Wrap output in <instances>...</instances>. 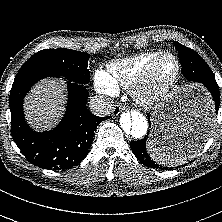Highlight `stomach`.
<instances>
[{
	"label": "stomach",
	"instance_id": "obj_1",
	"mask_svg": "<svg viewBox=\"0 0 222 222\" xmlns=\"http://www.w3.org/2000/svg\"><path fill=\"white\" fill-rule=\"evenodd\" d=\"M211 107V100L203 88L197 85L175 88L156 105L152 113L150 139L163 146L170 145V140L180 129L193 120L208 115ZM207 139L208 137L199 148ZM199 148L190 152L194 153Z\"/></svg>",
	"mask_w": 222,
	"mask_h": 222
}]
</instances>
